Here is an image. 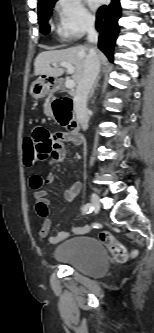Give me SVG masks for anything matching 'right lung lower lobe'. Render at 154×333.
Segmentation results:
<instances>
[{
    "label": "right lung lower lobe",
    "instance_id": "98d812e1",
    "mask_svg": "<svg viewBox=\"0 0 154 333\" xmlns=\"http://www.w3.org/2000/svg\"><path fill=\"white\" fill-rule=\"evenodd\" d=\"M120 11V0H112L109 6H102L97 12L96 29L100 33L98 47L111 61L119 32L117 22L121 15Z\"/></svg>",
    "mask_w": 154,
    "mask_h": 333
}]
</instances>
